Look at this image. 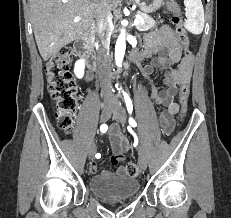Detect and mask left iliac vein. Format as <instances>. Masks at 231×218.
Returning <instances> with one entry per match:
<instances>
[{
    "mask_svg": "<svg viewBox=\"0 0 231 218\" xmlns=\"http://www.w3.org/2000/svg\"><path fill=\"white\" fill-rule=\"evenodd\" d=\"M113 115L120 123L124 124L126 122V110L121 104L115 105ZM138 162L142 170L147 168V155L142 146L138 149Z\"/></svg>",
    "mask_w": 231,
    "mask_h": 218,
    "instance_id": "left-iliac-vein-1",
    "label": "left iliac vein"
}]
</instances>
